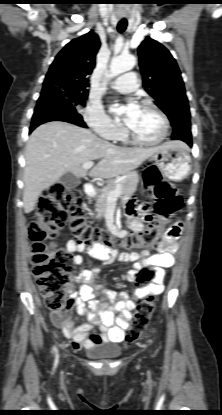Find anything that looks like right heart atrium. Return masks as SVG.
Returning <instances> with one entry per match:
<instances>
[{
  "label": "right heart atrium",
  "mask_w": 222,
  "mask_h": 415,
  "mask_svg": "<svg viewBox=\"0 0 222 415\" xmlns=\"http://www.w3.org/2000/svg\"><path fill=\"white\" fill-rule=\"evenodd\" d=\"M83 119L94 133L104 139L115 140L122 132L120 125L115 123L96 103L87 104L83 111Z\"/></svg>",
  "instance_id": "right-heart-atrium-1"
}]
</instances>
